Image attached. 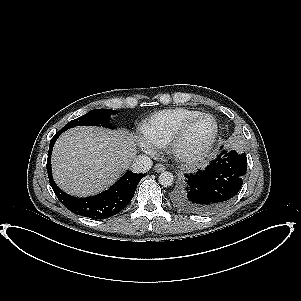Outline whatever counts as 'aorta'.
Masks as SVG:
<instances>
[{
	"label": "aorta",
	"mask_w": 301,
	"mask_h": 301,
	"mask_svg": "<svg viewBox=\"0 0 301 301\" xmlns=\"http://www.w3.org/2000/svg\"><path fill=\"white\" fill-rule=\"evenodd\" d=\"M160 185L169 187L174 183V176L171 172L163 171L158 178Z\"/></svg>",
	"instance_id": "762f6f07"
}]
</instances>
